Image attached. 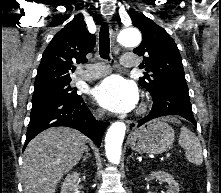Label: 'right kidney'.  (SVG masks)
I'll return each instance as SVG.
<instances>
[{"instance_id": "1", "label": "right kidney", "mask_w": 221, "mask_h": 193, "mask_svg": "<svg viewBox=\"0 0 221 193\" xmlns=\"http://www.w3.org/2000/svg\"><path fill=\"white\" fill-rule=\"evenodd\" d=\"M79 173L73 172L68 174L61 187V193H79L78 191V178Z\"/></svg>"}]
</instances>
